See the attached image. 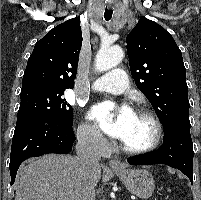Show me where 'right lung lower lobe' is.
Here are the masks:
<instances>
[{
  "instance_id": "98d812e1",
  "label": "right lung lower lobe",
  "mask_w": 201,
  "mask_h": 200,
  "mask_svg": "<svg viewBox=\"0 0 201 200\" xmlns=\"http://www.w3.org/2000/svg\"><path fill=\"white\" fill-rule=\"evenodd\" d=\"M72 130V124L47 115H32L18 119L10 154L11 185L24 160L47 153H69L75 141Z\"/></svg>"
}]
</instances>
